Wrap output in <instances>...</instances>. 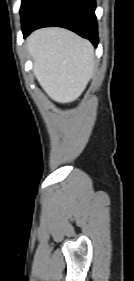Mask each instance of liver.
<instances>
[{
	"label": "liver",
	"instance_id": "liver-1",
	"mask_svg": "<svg viewBox=\"0 0 134 281\" xmlns=\"http://www.w3.org/2000/svg\"><path fill=\"white\" fill-rule=\"evenodd\" d=\"M27 49L34 75L51 99L70 103L83 93L95 64L88 40L66 29L43 28L29 36Z\"/></svg>",
	"mask_w": 134,
	"mask_h": 281
}]
</instances>
